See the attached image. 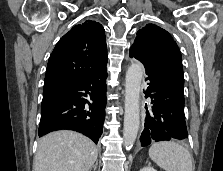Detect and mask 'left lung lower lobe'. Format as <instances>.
I'll return each instance as SVG.
<instances>
[{
	"instance_id": "1",
	"label": "left lung lower lobe",
	"mask_w": 223,
	"mask_h": 171,
	"mask_svg": "<svg viewBox=\"0 0 223 171\" xmlns=\"http://www.w3.org/2000/svg\"><path fill=\"white\" fill-rule=\"evenodd\" d=\"M129 56L141 61L147 74L145 97L151 98L146 111L141 146L151 142L188 138L184 116V84L176 77L130 48Z\"/></svg>"
}]
</instances>
